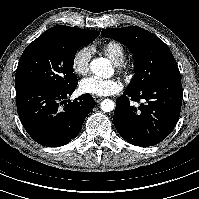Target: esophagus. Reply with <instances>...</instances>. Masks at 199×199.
<instances>
[{
	"mask_svg": "<svg viewBox=\"0 0 199 199\" xmlns=\"http://www.w3.org/2000/svg\"><path fill=\"white\" fill-rule=\"evenodd\" d=\"M93 98H94L95 102H97V103H99L100 101L103 100V98L100 96H94Z\"/></svg>",
	"mask_w": 199,
	"mask_h": 199,
	"instance_id": "34e87169",
	"label": "esophagus"
}]
</instances>
